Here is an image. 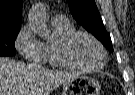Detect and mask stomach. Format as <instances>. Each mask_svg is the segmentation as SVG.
<instances>
[{"label":"stomach","mask_w":135,"mask_h":95,"mask_svg":"<svg viewBox=\"0 0 135 95\" xmlns=\"http://www.w3.org/2000/svg\"><path fill=\"white\" fill-rule=\"evenodd\" d=\"M100 90L99 82L85 75L63 83V95H100Z\"/></svg>","instance_id":"0dacf381"}]
</instances>
